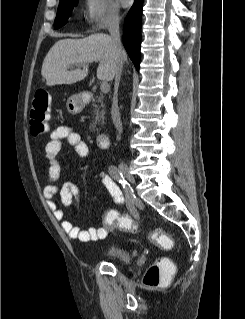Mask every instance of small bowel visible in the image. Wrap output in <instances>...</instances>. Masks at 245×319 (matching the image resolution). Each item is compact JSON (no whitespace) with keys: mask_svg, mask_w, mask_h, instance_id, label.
Masks as SVG:
<instances>
[{"mask_svg":"<svg viewBox=\"0 0 245 319\" xmlns=\"http://www.w3.org/2000/svg\"><path fill=\"white\" fill-rule=\"evenodd\" d=\"M72 146L79 157H86L89 149L82 136L69 125H62L54 129L46 143L45 154L49 160V167L47 170L46 182L43 187V195L47 199V205L53 212L54 218L60 223L63 232L71 239L79 240L81 242H91L102 240L107 237L109 229L107 226L91 227L86 230H81L75 226L71 221L65 219L63 209L59 208L54 200L58 195L64 207H70L73 204L79 206L81 199V189L73 182L58 183L61 166L57 160L64 144ZM95 180L100 181L110 192L117 205H122L123 201H119L118 196L114 194L113 181L105 173H99L95 176Z\"/></svg>","mask_w":245,"mask_h":319,"instance_id":"small-bowel-1","label":"small bowel"}]
</instances>
